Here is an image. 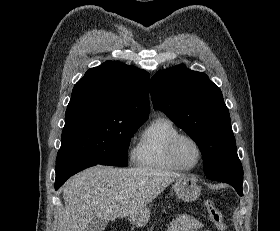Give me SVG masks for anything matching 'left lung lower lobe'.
Here are the masks:
<instances>
[{"mask_svg":"<svg viewBox=\"0 0 280 231\" xmlns=\"http://www.w3.org/2000/svg\"><path fill=\"white\" fill-rule=\"evenodd\" d=\"M208 179L228 183L232 185L237 193L242 196V184H243V169L240 160H236L216 172L207 175Z\"/></svg>","mask_w":280,"mask_h":231,"instance_id":"1","label":"left lung lower lobe"}]
</instances>
